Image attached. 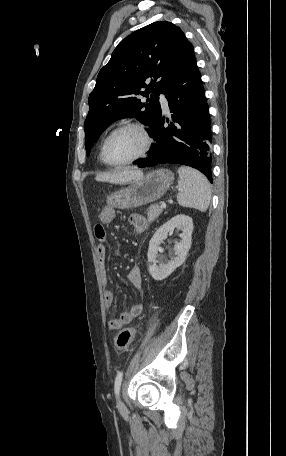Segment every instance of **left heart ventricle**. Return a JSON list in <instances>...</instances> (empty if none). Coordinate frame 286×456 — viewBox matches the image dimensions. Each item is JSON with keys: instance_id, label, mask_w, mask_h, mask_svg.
Returning a JSON list of instances; mask_svg holds the SVG:
<instances>
[{"instance_id": "1", "label": "left heart ventricle", "mask_w": 286, "mask_h": 456, "mask_svg": "<svg viewBox=\"0 0 286 456\" xmlns=\"http://www.w3.org/2000/svg\"><path fill=\"white\" fill-rule=\"evenodd\" d=\"M145 140L140 131L127 128L116 133L108 143L107 157L120 163L137 156L144 148Z\"/></svg>"}]
</instances>
